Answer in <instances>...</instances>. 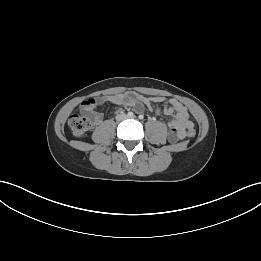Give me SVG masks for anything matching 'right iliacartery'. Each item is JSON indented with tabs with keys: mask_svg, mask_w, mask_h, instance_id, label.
Here are the masks:
<instances>
[{
	"mask_svg": "<svg viewBox=\"0 0 261 261\" xmlns=\"http://www.w3.org/2000/svg\"><path fill=\"white\" fill-rule=\"evenodd\" d=\"M127 115H128L129 117H133V116H134L133 112H128Z\"/></svg>",
	"mask_w": 261,
	"mask_h": 261,
	"instance_id": "obj_1",
	"label": "right iliac artery"
}]
</instances>
